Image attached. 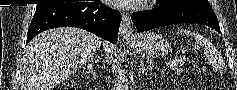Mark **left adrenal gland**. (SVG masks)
I'll use <instances>...</instances> for the list:
<instances>
[{
    "label": "left adrenal gland",
    "mask_w": 237,
    "mask_h": 90,
    "mask_svg": "<svg viewBox=\"0 0 237 90\" xmlns=\"http://www.w3.org/2000/svg\"><path fill=\"white\" fill-rule=\"evenodd\" d=\"M145 68H144V62H142V60H140V64L138 66V76H140V74H143Z\"/></svg>",
    "instance_id": "obj_1"
}]
</instances>
